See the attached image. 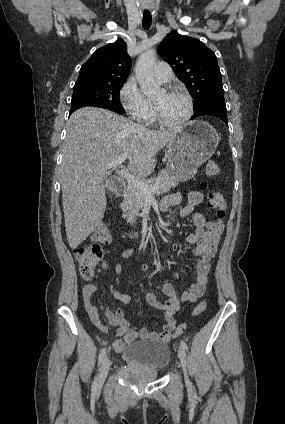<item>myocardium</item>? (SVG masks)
Instances as JSON below:
<instances>
[{"mask_svg": "<svg viewBox=\"0 0 285 424\" xmlns=\"http://www.w3.org/2000/svg\"><path fill=\"white\" fill-rule=\"evenodd\" d=\"M164 92L166 94H169V95L177 94V95H181L182 97H184L186 102H187L188 111H187V114L185 115V117H183L181 120L176 121V122H169L162 117L157 105L153 103L155 119L157 120V122L160 125H162L164 127H168V128H179V127L184 126L192 118V116L194 114V105H193V100H192L191 96L186 91L179 89V88H175V87H170L167 90H165Z\"/></svg>", "mask_w": 285, "mask_h": 424, "instance_id": "obj_1", "label": "myocardium"}]
</instances>
